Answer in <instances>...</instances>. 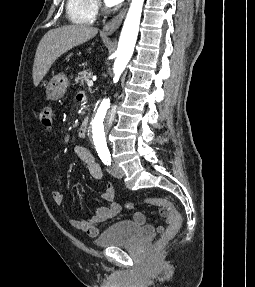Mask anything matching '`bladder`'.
Returning a JSON list of instances; mask_svg holds the SVG:
<instances>
[{"label":"bladder","mask_w":255,"mask_h":287,"mask_svg":"<svg viewBox=\"0 0 255 287\" xmlns=\"http://www.w3.org/2000/svg\"><path fill=\"white\" fill-rule=\"evenodd\" d=\"M145 228L130 220H123L108 227L94 241L98 247H111L131 244L141 238Z\"/></svg>","instance_id":"bladder-1"}]
</instances>
